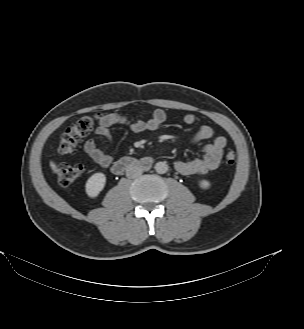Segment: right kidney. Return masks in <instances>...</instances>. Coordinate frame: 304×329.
Returning a JSON list of instances; mask_svg holds the SVG:
<instances>
[{
  "label": "right kidney",
  "instance_id": "ca27d5eb",
  "mask_svg": "<svg viewBox=\"0 0 304 329\" xmlns=\"http://www.w3.org/2000/svg\"><path fill=\"white\" fill-rule=\"evenodd\" d=\"M106 183V177L103 173L93 174L86 182V193L89 197L95 198L103 190Z\"/></svg>",
  "mask_w": 304,
  "mask_h": 329
}]
</instances>
